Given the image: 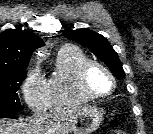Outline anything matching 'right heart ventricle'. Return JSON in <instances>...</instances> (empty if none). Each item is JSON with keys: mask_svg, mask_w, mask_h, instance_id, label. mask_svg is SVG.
I'll return each mask as SVG.
<instances>
[{"mask_svg": "<svg viewBox=\"0 0 153 134\" xmlns=\"http://www.w3.org/2000/svg\"><path fill=\"white\" fill-rule=\"evenodd\" d=\"M89 58L77 47L65 46L55 60V72L46 80L47 108L79 106L90 101L79 91L77 74Z\"/></svg>", "mask_w": 153, "mask_h": 134, "instance_id": "1", "label": "right heart ventricle"}]
</instances>
